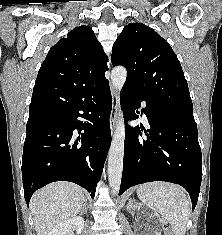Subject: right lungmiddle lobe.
<instances>
[{"label":"right lung middle lobe","mask_w":222,"mask_h":235,"mask_svg":"<svg viewBox=\"0 0 222 235\" xmlns=\"http://www.w3.org/2000/svg\"><path fill=\"white\" fill-rule=\"evenodd\" d=\"M42 123H44V122H27L26 130H30V129H32V128H34V127H36V126H38Z\"/></svg>","instance_id":"obj_1"}]
</instances>
